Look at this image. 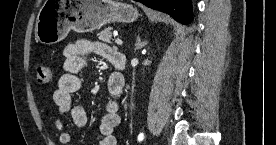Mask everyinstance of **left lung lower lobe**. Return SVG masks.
I'll return each mask as SVG.
<instances>
[{
    "instance_id": "0a47b994",
    "label": "left lung lower lobe",
    "mask_w": 276,
    "mask_h": 145,
    "mask_svg": "<svg viewBox=\"0 0 276 145\" xmlns=\"http://www.w3.org/2000/svg\"><path fill=\"white\" fill-rule=\"evenodd\" d=\"M142 4L169 14L182 24L192 21V9L190 0H135Z\"/></svg>"
}]
</instances>
